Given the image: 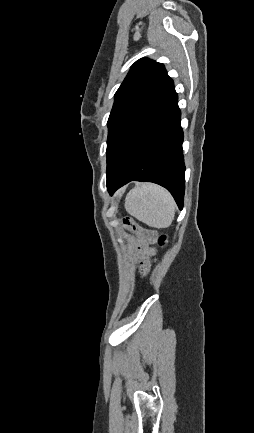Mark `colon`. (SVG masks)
Instances as JSON below:
<instances>
[{
  "mask_svg": "<svg viewBox=\"0 0 254 433\" xmlns=\"http://www.w3.org/2000/svg\"><path fill=\"white\" fill-rule=\"evenodd\" d=\"M123 224L126 228L130 230H136L137 224L132 218H125ZM160 242L163 244L165 242V237H161Z\"/></svg>",
  "mask_w": 254,
  "mask_h": 433,
  "instance_id": "obj_1",
  "label": "colon"
}]
</instances>
